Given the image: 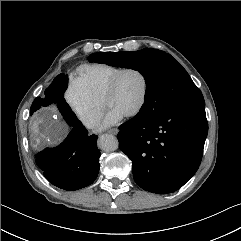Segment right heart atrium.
Instances as JSON below:
<instances>
[{"instance_id": "obj_1", "label": "right heart atrium", "mask_w": 241, "mask_h": 241, "mask_svg": "<svg viewBox=\"0 0 241 241\" xmlns=\"http://www.w3.org/2000/svg\"><path fill=\"white\" fill-rule=\"evenodd\" d=\"M65 100L75 117L87 128L95 127L103 113L101 101L96 100L78 80H70Z\"/></svg>"}]
</instances>
